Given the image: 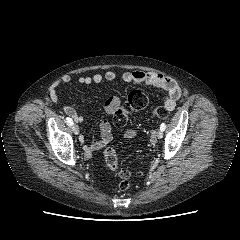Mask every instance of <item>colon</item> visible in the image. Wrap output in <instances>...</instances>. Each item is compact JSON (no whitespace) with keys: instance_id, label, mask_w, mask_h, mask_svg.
I'll return each instance as SVG.
<instances>
[{"instance_id":"5ec220e1","label":"colon","mask_w":240,"mask_h":240,"mask_svg":"<svg viewBox=\"0 0 240 240\" xmlns=\"http://www.w3.org/2000/svg\"><path fill=\"white\" fill-rule=\"evenodd\" d=\"M148 103L147 96L140 90H133L129 93L124 105H122L113 116L114 125L118 128L123 127L128 120L131 111L141 110ZM152 115L156 119H165L168 116V110L163 106L155 107ZM104 159L107 166L112 170L118 169V156L114 148L108 147L104 151ZM118 175L121 178L119 182L120 190L126 191L131 186L133 174L127 169H120Z\"/></svg>"}]
</instances>
